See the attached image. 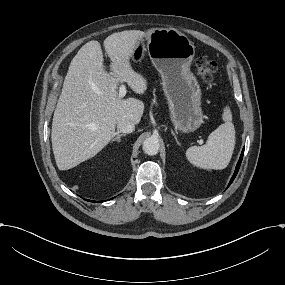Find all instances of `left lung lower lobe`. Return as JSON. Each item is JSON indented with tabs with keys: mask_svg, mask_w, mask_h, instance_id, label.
<instances>
[{
	"mask_svg": "<svg viewBox=\"0 0 285 285\" xmlns=\"http://www.w3.org/2000/svg\"><path fill=\"white\" fill-rule=\"evenodd\" d=\"M243 154H244V148H243V150H242L240 159H239V161H238V163H237V166H236V169H235V173L233 174V176H232V178H231V180H230L229 185L233 182V180L235 179V177H236V175H237V173H238V170H239V167H240L242 158H243ZM229 185H228V186H229Z\"/></svg>",
	"mask_w": 285,
	"mask_h": 285,
	"instance_id": "1",
	"label": "left lung lower lobe"
}]
</instances>
